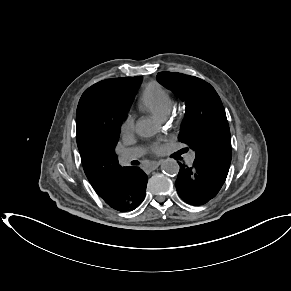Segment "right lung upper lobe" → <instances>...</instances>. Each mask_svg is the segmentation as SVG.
Here are the masks:
<instances>
[{
  "mask_svg": "<svg viewBox=\"0 0 291 291\" xmlns=\"http://www.w3.org/2000/svg\"><path fill=\"white\" fill-rule=\"evenodd\" d=\"M130 78L100 81L88 88L80 98L76 113V139L85 174L96 193L105 201L116 195L120 188L122 171L115 147L108 145L102 135L98 110L103 89L126 94Z\"/></svg>",
  "mask_w": 291,
  "mask_h": 291,
  "instance_id": "obj_1",
  "label": "right lung upper lobe"
}]
</instances>
